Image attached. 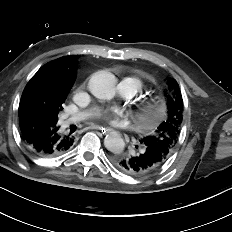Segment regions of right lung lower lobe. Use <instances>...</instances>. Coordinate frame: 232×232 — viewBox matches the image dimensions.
Listing matches in <instances>:
<instances>
[{
  "instance_id": "obj_1",
  "label": "right lung lower lobe",
  "mask_w": 232,
  "mask_h": 232,
  "mask_svg": "<svg viewBox=\"0 0 232 232\" xmlns=\"http://www.w3.org/2000/svg\"><path fill=\"white\" fill-rule=\"evenodd\" d=\"M21 136L28 149L42 157H52L66 152L74 143V136L64 134L59 126L39 125L31 117L19 119Z\"/></svg>"
}]
</instances>
